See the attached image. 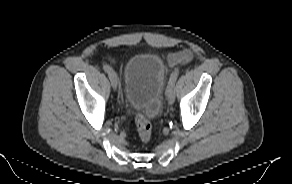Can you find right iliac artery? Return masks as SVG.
Here are the masks:
<instances>
[{"instance_id": "1", "label": "right iliac artery", "mask_w": 292, "mask_h": 184, "mask_svg": "<svg viewBox=\"0 0 292 184\" xmlns=\"http://www.w3.org/2000/svg\"><path fill=\"white\" fill-rule=\"evenodd\" d=\"M103 69H104V71L107 72V73H109V72L112 70V68H111L108 64H104V65H103Z\"/></svg>"}]
</instances>
